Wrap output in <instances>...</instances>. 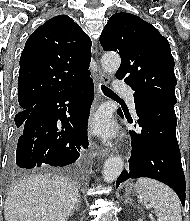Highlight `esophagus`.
I'll return each mask as SVG.
<instances>
[{
	"label": "esophagus",
	"mask_w": 190,
	"mask_h": 221,
	"mask_svg": "<svg viewBox=\"0 0 190 221\" xmlns=\"http://www.w3.org/2000/svg\"><path fill=\"white\" fill-rule=\"evenodd\" d=\"M110 82V77L105 73L103 72L101 69H99V72H98V85L99 84H109ZM111 150L108 149V148H102L100 150V156L102 157H106V156H109L111 154Z\"/></svg>",
	"instance_id": "obj_1"
}]
</instances>
